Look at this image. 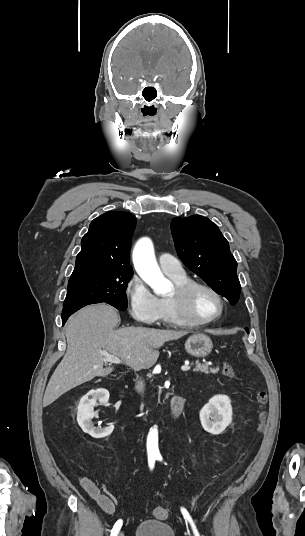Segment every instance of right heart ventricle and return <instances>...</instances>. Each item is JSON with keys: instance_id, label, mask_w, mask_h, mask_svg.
<instances>
[{"instance_id": "right-heart-ventricle-1", "label": "right heart ventricle", "mask_w": 305, "mask_h": 536, "mask_svg": "<svg viewBox=\"0 0 305 536\" xmlns=\"http://www.w3.org/2000/svg\"><path fill=\"white\" fill-rule=\"evenodd\" d=\"M176 285L177 284H184V283H187V282H190L192 281L191 277L188 276L185 272L184 274L180 275V276H174V275H167ZM161 302V305H162V311H161V314H160V321L162 322L163 325L165 326H168V327H176V326H181L182 323L181 321L178 319V317L176 316L174 310L172 309L169 301H168V298H163L160 300Z\"/></svg>"}]
</instances>
